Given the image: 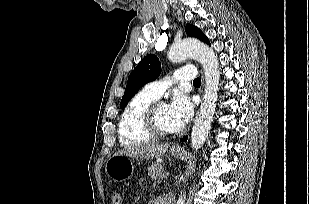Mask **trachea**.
Wrapping results in <instances>:
<instances>
[{"mask_svg":"<svg viewBox=\"0 0 309 204\" xmlns=\"http://www.w3.org/2000/svg\"><path fill=\"white\" fill-rule=\"evenodd\" d=\"M193 84H201V79H200V78H196V79L193 81Z\"/></svg>","mask_w":309,"mask_h":204,"instance_id":"3493384b","label":"trachea"}]
</instances>
